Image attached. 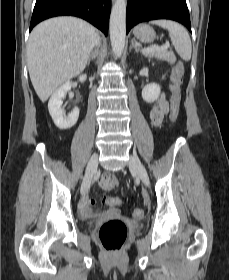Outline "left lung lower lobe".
<instances>
[{
	"mask_svg": "<svg viewBox=\"0 0 229 280\" xmlns=\"http://www.w3.org/2000/svg\"><path fill=\"white\" fill-rule=\"evenodd\" d=\"M171 19L185 25L191 32L186 0H129L126 12V32L136 24L149 20Z\"/></svg>",
	"mask_w": 229,
	"mask_h": 280,
	"instance_id": "obj_1",
	"label": "left lung lower lobe"
}]
</instances>
